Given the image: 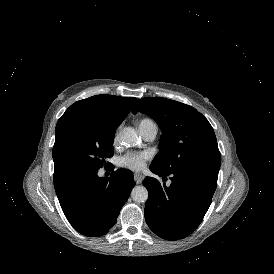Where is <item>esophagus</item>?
<instances>
[{"label":"esophagus","mask_w":274,"mask_h":274,"mask_svg":"<svg viewBox=\"0 0 274 274\" xmlns=\"http://www.w3.org/2000/svg\"><path fill=\"white\" fill-rule=\"evenodd\" d=\"M134 180L137 184H141L142 181L144 180V175L140 173H134Z\"/></svg>","instance_id":"34e87169"}]
</instances>
